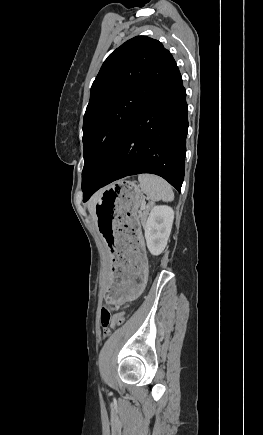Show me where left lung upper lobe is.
<instances>
[{
    "label": "left lung upper lobe",
    "mask_w": 263,
    "mask_h": 435,
    "mask_svg": "<svg viewBox=\"0 0 263 435\" xmlns=\"http://www.w3.org/2000/svg\"><path fill=\"white\" fill-rule=\"evenodd\" d=\"M177 71L171 53L146 36L126 41L108 56L92 84L84 115L83 193L103 171L134 118Z\"/></svg>",
    "instance_id": "obj_1"
}]
</instances>
